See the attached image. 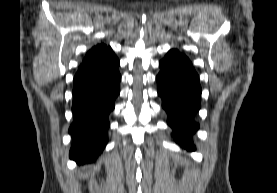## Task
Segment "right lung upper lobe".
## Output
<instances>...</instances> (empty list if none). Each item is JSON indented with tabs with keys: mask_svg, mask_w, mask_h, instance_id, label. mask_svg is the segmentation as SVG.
<instances>
[{
	"mask_svg": "<svg viewBox=\"0 0 277 193\" xmlns=\"http://www.w3.org/2000/svg\"><path fill=\"white\" fill-rule=\"evenodd\" d=\"M109 49H111V48L107 47L104 44L97 45V46L93 47L91 50L88 51L84 61H88L92 58H95V57L101 55L102 53L108 51Z\"/></svg>",
	"mask_w": 277,
	"mask_h": 193,
	"instance_id": "1",
	"label": "right lung upper lobe"
}]
</instances>
